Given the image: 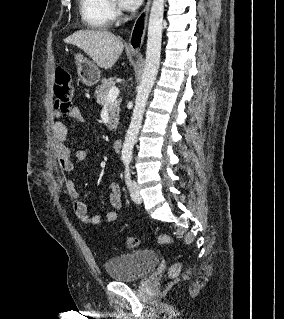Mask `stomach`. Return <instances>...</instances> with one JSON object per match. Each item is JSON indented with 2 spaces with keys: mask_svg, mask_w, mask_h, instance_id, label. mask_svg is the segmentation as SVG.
<instances>
[{
  "mask_svg": "<svg viewBox=\"0 0 284 319\" xmlns=\"http://www.w3.org/2000/svg\"><path fill=\"white\" fill-rule=\"evenodd\" d=\"M77 73L79 79L87 86L96 84L100 79V71L96 65L89 61L82 54H75Z\"/></svg>",
  "mask_w": 284,
  "mask_h": 319,
  "instance_id": "stomach-1",
  "label": "stomach"
}]
</instances>
